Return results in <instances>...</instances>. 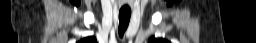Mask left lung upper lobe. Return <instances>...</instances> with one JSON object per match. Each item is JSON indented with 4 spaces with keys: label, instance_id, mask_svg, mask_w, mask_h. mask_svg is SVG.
I'll return each instance as SVG.
<instances>
[{
    "label": "left lung upper lobe",
    "instance_id": "5c2ea615",
    "mask_svg": "<svg viewBox=\"0 0 256 43\" xmlns=\"http://www.w3.org/2000/svg\"><path fill=\"white\" fill-rule=\"evenodd\" d=\"M149 43H168V41L164 39H156L155 37L150 38Z\"/></svg>",
    "mask_w": 256,
    "mask_h": 43
}]
</instances>
